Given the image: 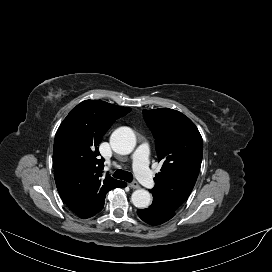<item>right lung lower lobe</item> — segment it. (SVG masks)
<instances>
[{
    "label": "right lung lower lobe",
    "instance_id": "right-lung-lower-lobe-1",
    "mask_svg": "<svg viewBox=\"0 0 272 272\" xmlns=\"http://www.w3.org/2000/svg\"><path fill=\"white\" fill-rule=\"evenodd\" d=\"M126 183L123 182V181H120L119 184H118V187H126Z\"/></svg>",
    "mask_w": 272,
    "mask_h": 272
}]
</instances>
